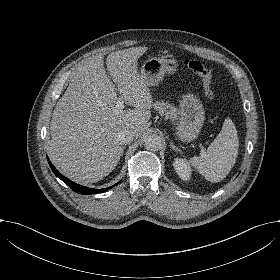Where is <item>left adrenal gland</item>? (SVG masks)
<instances>
[{
	"label": "left adrenal gland",
	"instance_id": "obj_1",
	"mask_svg": "<svg viewBox=\"0 0 280 280\" xmlns=\"http://www.w3.org/2000/svg\"><path fill=\"white\" fill-rule=\"evenodd\" d=\"M170 147L176 152H182L178 147H176L173 142H170Z\"/></svg>",
	"mask_w": 280,
	"mask_h": 280
}]
</instances>
